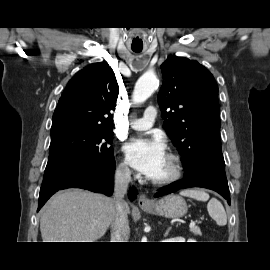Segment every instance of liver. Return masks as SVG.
<instances>
[{
  "instance_id": "1",
  "label": "liver",
  "mask_w": 270,
  "mask_h": 270,
  "mask_svg": "<svg viewBox=\"0 0 270 270\" xmlns=\"http://www.w3.org/2000/svg\"><path fill=\"white\" fill-rule=\"evenodd\" d=\"M115 209V199L68 189L54 195L42 210L43 242H95L106 233ZM130 212L129 206L126 207Z\"/></svg>"
}]
</instances>
